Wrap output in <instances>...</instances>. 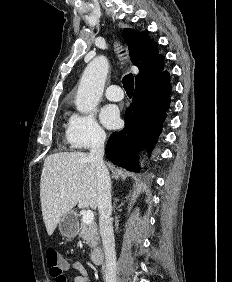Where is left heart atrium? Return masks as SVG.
Listing matches in <instances>:
<instances>
[{
  "label": "left heart atrium",
  "mask_w": 232,
  "mask_h": 282,
  "mask_svg": "<svg viewBox=\"0 0 232 282\" xmlns=\"http://www.w3.org/2000/svg\"><path fill=\"white\" fill-rule=\"evenodd\" d=\"M100 119L107 128H115L120 122L119 111L114 105H106L101 110Z\"/></svg>",
  "instance_id": "left-heart-atrium-1"
}]
</instances>
